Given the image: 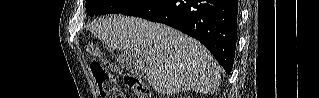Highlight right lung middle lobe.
Returning <instances> with one entry per match:
<instances>
[{
	"mask_svg": "<svg viewBox=\"0 0 319 98\" xmlns=\"http://www.w3.org/2000/svg\"><path fill=\"white\" fill-rule=\"evenodd\" d=\"M146 0H87L86 11L89 16L109 13H124Z\"/></svg>",
	"mask_w": 319,
	"mask_h": 98,
	"instance_id": "right-lung-middle-lobe-1",
	"label": "right lung middle lobe"
}]
</instances>
